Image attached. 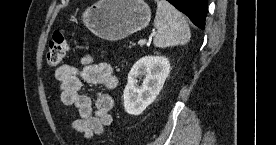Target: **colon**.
Masks as SVG:
<instances>
[{
	"label": "colon",
	"mask_w": 276,
	"mask_h": 145,
	"mask_svg": "<svg viewBox=\"0 0 276 145\" xmlns=\"http://www.w3.org/2000/svg\"><path fill=\"white\" fill-rule=\"evenodd\" d=\"M69 49V40L61 32H54L48 46L46 61L48 66L55 67L61 63Z\"/></svg>",
	"instance_id": "colon-1"
}]
</instances>
